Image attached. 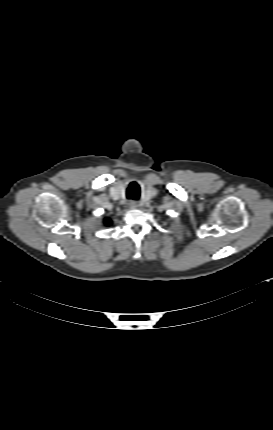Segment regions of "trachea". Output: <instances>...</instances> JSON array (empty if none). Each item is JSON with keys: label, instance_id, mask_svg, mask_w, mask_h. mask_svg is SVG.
I'll use <instances>...</instances> for the list:
<instances>
[{"label": "trachea", "instance_id": "trachea-1", "mask_svg": "<svg viewBox=\"0 0 273 430\" xmlns=\"http://www.w3.org/2000/svg\"><path fill=\"white\" fill-rule=\"evenodd\" d=\"M133 188H134V184H131V186L128 188V191H127L128 198L137 199L139 196V192L138 190H134Z\"/></svg>", "mask_w": 273, "mask_h": 430}]
</instances>
